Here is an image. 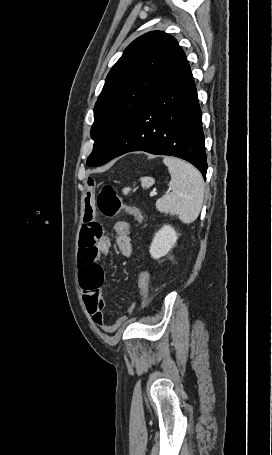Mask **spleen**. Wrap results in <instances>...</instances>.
Masks as SVG:
<instances>
[{"label":"spleen","instance_id":"spleen-1","mask_svg":"<svg viewBox=\"0 0 272 455\" xmlns=\"http://www.w3.org/2000/svg\"><path fill=\"white\" fill-rule=\"evenodd\" d=\"M163 162L171 175V192L156 201V209L161 213L177 215L183 223L189 224L197 219L202 208L205 190L202 175L180 159L164 157ZM140 180L145 189L154 184L152 177H141ZM122 192L126 195L130 188L126 187Z\"/></svg>","mask_w":272,"mask_h":455}]
</instances>
